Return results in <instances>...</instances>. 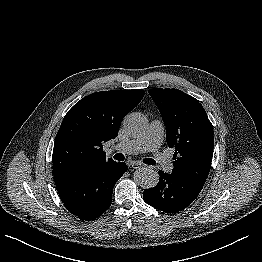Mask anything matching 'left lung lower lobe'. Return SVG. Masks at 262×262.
<instances>
[{"mask_svg": "<svg viewBox=\"0 0 262 262\" xmlns=\"http://www.w3.org/2000/svg\"><path fill=\"white\" fill-rule=\"evenodd\" d=\"M160 180L150 189L144 190V201L156 209L174 213L185 209L192 203L204 184L183 177L180 174L158 172Z\"/></svg>", "mask_w": 262, "mask_h": 262, "instance_id": "left-lung-lower-lobe-1", "label": "left lung lower lobe"}]
</instances>
